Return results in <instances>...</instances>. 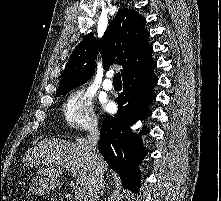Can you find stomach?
Segmentation results:
<instances>
[{
	"label": "stomach",
	"instance_id": "stomach-1",
	"mask_svg": "<svg viewBox=\"0 0 221 201\" xmlns=\"http://www.w3.org/2000/svg\"><path fill=\"white\" fill-rule=\"evenodd\" d=\"M54 186L48 178L37 175L32 179L30 191L36 195H43L49 192Z\"/></svg>",
	"mask_w": 221,
	"mask_h": 201
}]
</instances>
